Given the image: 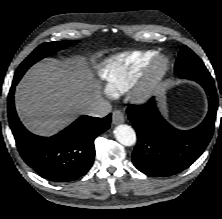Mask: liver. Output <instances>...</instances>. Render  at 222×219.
Masks as SVG:
<instances>
[{"instance_id":"6515ba94","label":"liver","mask_w":222,"mask_h":219,"mask_svg":"<svg viewBox=\"0 0 222 219\" xmlns=\"http://www.w3.org/2000/svg\"><path fill=\"white\" fill-rule=\"evenodd\" d=\"M102 100L86 60H49L33 66L16 88L15 105L33 133L50 136Z\"/></svg>"}]
</instances>
